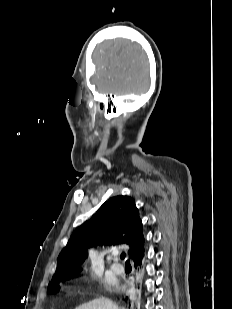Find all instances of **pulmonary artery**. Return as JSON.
Wrapping results in <instances>:
<instances>
[{"label":"pulmonary artery","mask_w":232,"mask_h":309,"mask_svg":"<svg viewBox=\"0 0 232 309\" xmlns=\"http://www.w3.org/2000/svg\"><path fill=\"white\" fill-rule=\"evenodd\" d=\"M111 270L116 274H121L124 272V267L118 263H113L111 265Z\"/></svg>","instance_id":"e3ab8cb5"}]
</instances>
